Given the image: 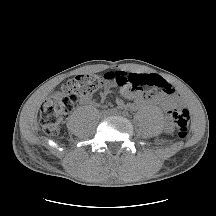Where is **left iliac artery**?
Here are the masks:
<instances>
[{
	"mask_svg": "<svg viewBox=\"0 0 216 216\" xmlns=\"http://www.w3.org/2000/svg\"><path fill=\"white\" fill-rule=\"evenodd\" d=\"M123 115H125V116L128 115V112H127V111H124V112H123Z\"/></svg>",
	"mask_w": 216,
	"mask_h": 216,
	"instance_id": "44dca946",
	"label": "left iliac artery"
}]
</instances>
